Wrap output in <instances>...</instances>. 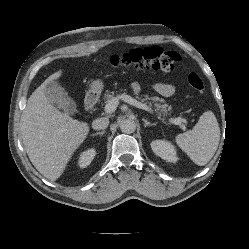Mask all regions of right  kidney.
<instances>
[{
	"label": "right kidney",
	"instance_id": "right-kidney-1",
	"mask_svg": "<svg viewBox=\"0 0 249 249\" xmlns=\"http://www.w3.org/2000/svg\"><path fill=\"white\" fill-rule=\"evenodd\" d=\"M95 154H96V151L94 149H88L82 152L78 160V165L81 168L87 167L88 165H90V163L94 159Z\"/></svg>",
	"mask_w": 249,
	"mask_h": 249
}]
</instances>
